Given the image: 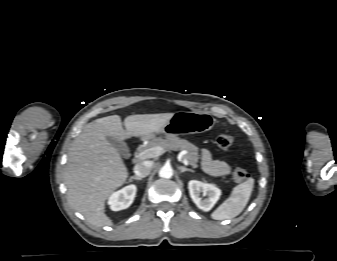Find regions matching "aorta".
I'll return each instance as SVG.
<instances>
[{"label": "aorta", "instance_id": "aorta-1", "mask_svg": "<svg viewBox=\"0 0 337 261\" xmlns=\"http://www.w3.org/2000/svg\"><path fill=\"white\" fill-rule=\"evenodd\" d=\"M159 176L162 178H171L173 176V169L165 165L159 170Z\"/></svg>", "mask_w": 337, "mask_h": 261}]
</instances>
